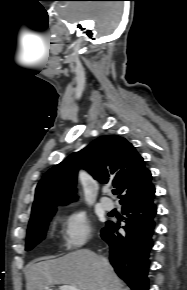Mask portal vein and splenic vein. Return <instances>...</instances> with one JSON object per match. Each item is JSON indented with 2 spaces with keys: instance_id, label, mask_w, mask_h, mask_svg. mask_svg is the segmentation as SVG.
<instances>
[{
  "instance_id": "18ae733b",
  "label": "portal vein and splenic vein",
  "mask_w": 187,
  "mask_h": 290,
  "mask_svg": "<svg viewBox=\"0 0 187 290\" xmlns=\"http://www.w3.org/2000/svg\"><path fill=\"white\" fill-rule=\"evenodd\" d=\"M45 290H51V289L46 288ZM59 290H79V289L72 285H62V286H59Z\"/></svg>"
}]
</instances>
